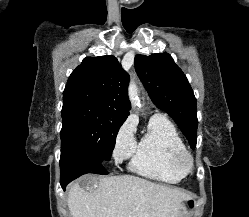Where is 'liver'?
Listing matches in <instances>:
<instances>
[{"label": "liver", "mask_w": 249, "mask_h": 217, "mask_svg": "<svg viewBox=\"0 0 249 217\" xmlns=\"http://www.w3.org/2000/svg\"><path fill=\"white\" fill-rule=\"evenodd\" d=\"M92 187L74 183L67 205L72 217H177L189 195L132 176L86 178Z\"/></svg>", "instance_id": "obj_1"}]
</instances>
